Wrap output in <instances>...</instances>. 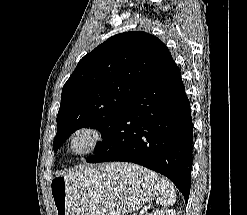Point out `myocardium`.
Returning a JSON list of instances; mask_svg holds the SVG:
<instances>
[{
    "mask_svg": "<svg viewBox=\"0 0 247 215\" xmlns=\"http://www.w3.org/2000/svg\"><path fill=\"white\" fill-rule=\"evenodd\" d=\"M80 138H85L86 142L83 147L77 149L76 142ZM103 139L104 135L100 129L91 124H83L72 130L67 138L66 145L70 154L83 157L97 149Z\"/></svg>",
    "mask_w": 247,
    "mask_h": 215,
    "instance_id": "f54148a6",
    "label": "myocardium"
}]
</instances>
